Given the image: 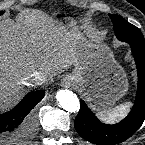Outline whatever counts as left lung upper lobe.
<instances>
[{"label":"left lung upper lobe","instance_id":"obj_1","mask_svg":"<svg viewBox=\"0 0 145 145\" xmlns=\"http://www.w3.org/2000/svg\"><path fill=\"white\" fill-rule=\"evenodd\" d=\"M114 24L115 35L119 40L139 46H145L141 31L118 15H110Z\"/></svg>","mask_w":145,"mask_h":145}]
</instances>
